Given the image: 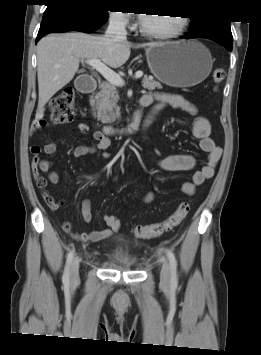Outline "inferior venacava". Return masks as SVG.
Masks as SVG:
<instances>
[{
  "mask_svg": "<svg viewBox=\"0 0 261 355\" xmlns=\"http://www.w3.org/2000/svg\"><path fill=\"white\" fill-rule=\"evenodd\" d=\"M126 22L123 17L115 15L110 17L105 36L114 42L127 41Z\"/></svg>",
  "mask_w": 261,
  "mask_h": 355,
  "instance_id": "obj_1",
  "label": "inferior vena cava"
}]
</instances>
